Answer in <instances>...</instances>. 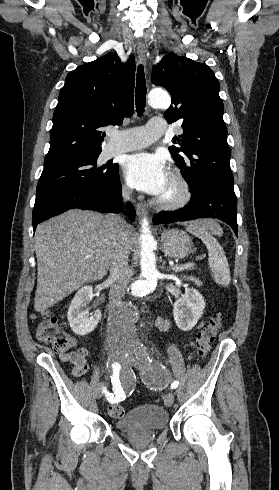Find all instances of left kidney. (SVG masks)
Instances as JSON below:
<instances>
[{
	"instance_id": "5707ae66",
	"label": "left kidney",
	"mask_w": 279,
	"mask_h": 490,
	"mask_svg": "<svg viewBox=\"0 0 279 490\" xmlns=\"http://www.w3.org/2000/svg\"><path fill=\"white\" fill-rule=\"evenodd\" d=\"M205 310V300L198 292L193 288H188L184 296L174 302L173 316L179 330L183 332H190L200 318H202Z\"/></svg>"
}]
</instances>
